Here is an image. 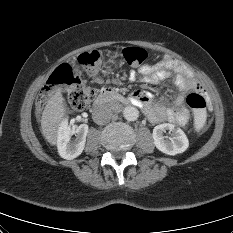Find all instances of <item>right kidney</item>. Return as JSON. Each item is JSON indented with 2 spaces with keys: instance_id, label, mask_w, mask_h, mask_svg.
<instances>
[{
  "instance_id": "ca27d5eb",
  "label": "right kidney",
  "mask_w": 233,
  "mask_h": 233,
  "mask_svg": "<svg viewBox=\"0 0 233 233\" xmlns=\"http://www.w3.org/2000/svg\"><path fill=\"white\" fill-rule=\"evenodd\" d=\"M88 129L87 124L69 128L67 119L63 120L58 129L59 155L66 160L78 157L84 150ZM73 135H75L74 139H72Z\"/></svg>"
}]
</instances>
